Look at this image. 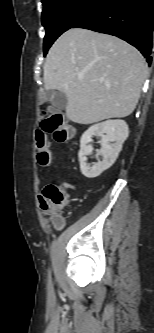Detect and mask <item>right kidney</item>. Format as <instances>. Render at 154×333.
I'll return each instance as SVG.
<instances>
[{"label": "right kidney", "mask_w": 154, "mask_h": 333, "mask_svg": "<svg viewBox=\"0 0 154 333\" xmlns=\"http://www.w3.org/2000/svg\"><path fill=\"white\" fill-rule=\"evenodd\" d=\"M128 135L129 128L124 120H107L86 130L81 137L78 153L81 173L87 178H95L110 168L115 163ZM93 136L101 138L99 155L103 159L91 166L87 163V156L92 154L93 151L90 144Z\"/></svg>", "instance_id": "obj_1"}]
</instances>
